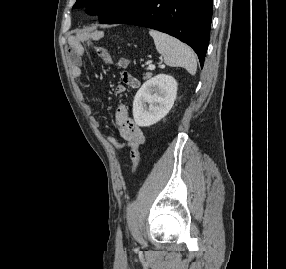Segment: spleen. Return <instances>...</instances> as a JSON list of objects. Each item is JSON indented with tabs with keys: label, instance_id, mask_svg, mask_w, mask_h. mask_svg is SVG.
<instances>
[{
	"label": "spleen",
	"instance_id": "1",
	"mask_svg": "<svg viewBox=\"0 0 286 269\" xmlns=\"http://www.w3.org/2000/svg\"><path fill=\"white\" fill-rule=\"evenodd\" d=\"M150 36L154 39L157 51L164 57L166 65L171 67H183L191 75L197 71V61L193 50L165 33L150 30Z\"/></svg>",
	"mask_w": 286,
	"mask_h": 269
}]
</instances>
